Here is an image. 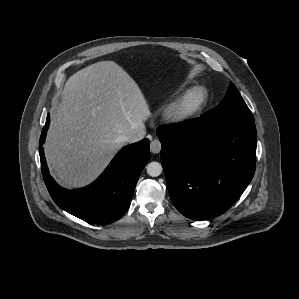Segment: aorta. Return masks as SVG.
<instances>
[{
	"instance_id": "762f6f07",
	"label": "aorta",
	"mask_w": 299,
	"mask_h": 299,
	"mask_svg": "<svg viewBox=\"0 0 299 299\" xmlns=\"http://www.w3.org/2000/svg\"><path fill=\"white\" fill-rule=\"evenodd\" d=\"M147 173L151 177H157L162 173V165L158 162H151L147 165Z\"/></svg>"
}]
</instances>
